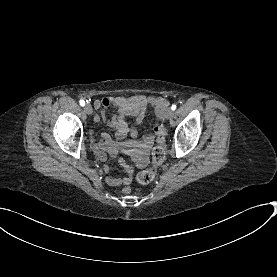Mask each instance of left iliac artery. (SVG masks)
Here are the masks:
<instances>
[{"label": "left iliac artery", "instance_id": "44dca946", "mask_svg": "<svg viewBox=\"0 0 277 277\" xmlns=\"http://www.w3.org/2000/svg\"><path fill=\"white\" fill-rule=\"evenodd\" d=\"M171 109L174 111V110L176 109V105L173 104V105L171 106Z\"/></svg>", "mask_w": 277, "mask_h": 277}]
</instances>
